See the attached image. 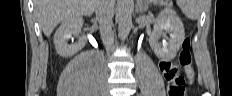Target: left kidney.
Returning <instances> with one entry per match:
<instances>
[{
	"label": "left kidney",
	"instance_id": "1",
	"mask_svg": "<svg viewBox=\"0 0 232 96\" xmlns=\"http://www.w3.org/2000/svg\"><path fill=\"white\" fill-rule=\"evenodd\" d=\"M170 34L168 42H160V37H166ZM185 37L183 23L171 8L162 10L155 23L154 29L149 37V44L158 58L162 60H172Z\"/></svg>",
	"mask_w": 232,
	"mask_h": 96
}]
</instances>
